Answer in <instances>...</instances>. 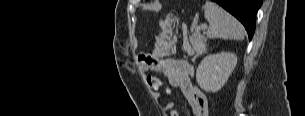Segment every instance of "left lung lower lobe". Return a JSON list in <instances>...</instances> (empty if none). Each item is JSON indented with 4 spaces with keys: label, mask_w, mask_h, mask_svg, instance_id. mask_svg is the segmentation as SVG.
<instances>
[{
    "label": "left lung lower lobe",
    "mask_w": 305,
    "mask_h": 116,
    "mask_svg": "<svg viewBox=\"0 0 305 116\" xmlns=\"http://www.w3.org/2000/svg\"><path fill=\"white\" fill-rule=\"evenodd\" d=\"M233 16L246 28L249 39L255 31L256 13L262 5V0H213Z\"/></svg>",
    "instance_id": "0a47b994"
}]
</instances>
